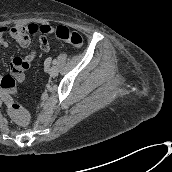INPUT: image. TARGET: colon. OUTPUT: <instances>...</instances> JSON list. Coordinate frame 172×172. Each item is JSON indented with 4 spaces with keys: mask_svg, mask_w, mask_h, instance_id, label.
<instances>
[{
    "mask_svg": "<svg viewBox=\"0 0 172 172\" xmlns=\"http://www.w3.org/2000/svg\"><path fill=\"white\" fill-rule=\"evenodd\" d=\"M36 30L37 28L31 27L27 34H33ZM55 35L60 40L75 47H80L83 44L82 36L78 32L70 30L65 26H58L55 29ZM12 72L13 73L5 75L0 79V97L7 106L10 117L18 124L25 126L29 121V115L28 112L13 99V96L16 94V82L14 71L12 70Z\"/></svg>",
    "mask_w": 172,
    "mask_h": 172,
    "instance_id": "1",
    "label": "colon"
}]
</instances>
